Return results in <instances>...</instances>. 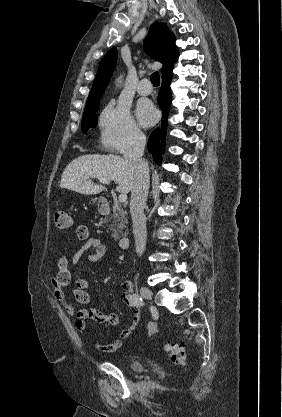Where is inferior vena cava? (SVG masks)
Instances as JSON below:
<instances>
[{"label": "inferior vena cava", "instance_id": "1", "mask_svg": "<svg viewBox=\"0 0 282 417\" xmlns=\"http://www.w3.org/2000/svg\"><path fill=\"white\" fill-rule=\"evenodd\" d=\"M146 136L141 130H132L129 142L123 150L124 158L134 170V182L131 190L130 213L133 223L135 249L138 257L145 251L147 233L146 219L143 213L149 188V168L142 160Z\"/></svg>", "mask_w": 282, "mask_h": 417}]
</instances>
